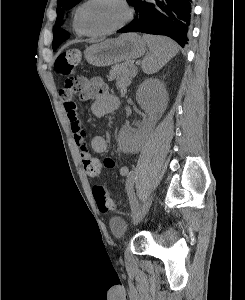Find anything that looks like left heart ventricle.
<instances>
[{
    "label": "left heart ventricle",
    "instance_id": "obj_1",
    "mask_svg": "<svg viewBox=\"0 0 245 300\" xmlns=\"http://www.w3.org/2000/svg\"><path fill=\"white\" fill-rule=\"evenodd\" d=\"M125 11L117 0H95L82 12L85 29L98 32L109 29L124 18Z\"/></svg>",
    "mask_w": 245,
    "mask_h": 300
}]
</instances>
